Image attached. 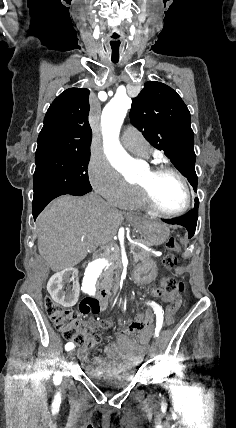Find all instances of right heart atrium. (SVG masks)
<instances>
[{"label":"right heart atrium","instance_id":"obj_1","mask_svg":"<svg viewBox=\"0 0 236 428\" xmlns=\"http://www.w3.org/2000/svg\"><path fill=\"white\" fill-rule=\"evenodd\" d=\"M89 182L101 200L110 201V206H124L132 196L133 188L101 158L90 161Z\"/></svg>","mask_w":236,"mask_h":428}]
</instances>
